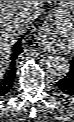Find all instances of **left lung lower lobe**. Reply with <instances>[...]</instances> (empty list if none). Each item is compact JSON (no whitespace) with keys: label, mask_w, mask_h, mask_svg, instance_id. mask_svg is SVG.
<instances>
[{"label":"left lung lower lobe","mask_w":74,"mask_h":122,"mask_svg":"<svg viewBox=\"0 0 74 122\" xmlns=\"http://www.w3.org/2000/svg\"><path fill=\"white\" fill-rule=\"evenodd\" d=\"M56 85L59 92L74 96V57L71 61L70 72L66 77L59 80Z\"/></svg>","instance_id":"left-lung-lower-lobe-1"}]
</instances>
